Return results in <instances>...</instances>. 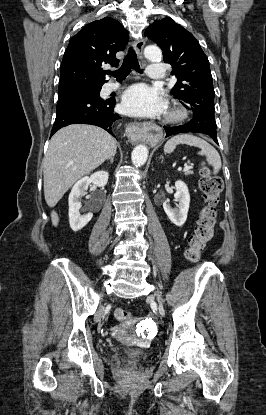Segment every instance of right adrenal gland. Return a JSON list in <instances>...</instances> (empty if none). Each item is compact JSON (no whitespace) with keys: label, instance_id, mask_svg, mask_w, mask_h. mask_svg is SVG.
<instances>
[{"label":"right adrenal gland","instance_id":"2a0ac1e0","mask_svg":"<svg viewBox=\"0 0 266 415\" xmlns=\"http://www.w3.org/2000/svg\"><path fill=\"white\" fill-rule=\"evenodd\" d=\"M114 156H115V154H114V155H112L111 157H109V158L107 159V161H110V163L112 164V163H113V161H114Z\"/></svg>","mask_w":266,"mask_h":415}]
</instances>
